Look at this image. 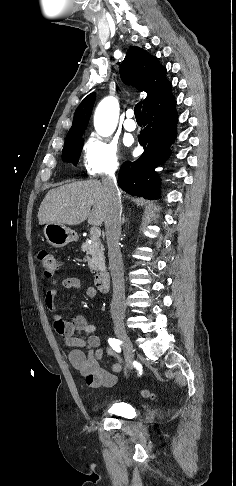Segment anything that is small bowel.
<instances>
[{"label": "small bowel", "instance_id": "1", "mask_svg": "<svg viewBox=\"0 0 236 486\" xmlns=\"http://www.w3.org/2000/svg\"><path fill=\"white\" fill-rule=\"evenodd\" d=\"M81 280L77 277L64 278L58 288L48 289L45 295V305L53 313V326L56 332L64 338L65 345L70 348L68 359L70 364L84 376L86 384L90 388L112 387L117 382L116 373L123 370L122 358L111 348L106 354L114 357L116 362L111 371L101 367V359L104 351L101 340L95 334L96 326L86 320L83 315H76L71 321L64 319L59 308L55 304V297L59 289H80ZM86 295L92 297L95 290L91 287L85 290ZM83 335H87L84 339ZM83 349H86L84 351Z\"/></svg>", "mask_w": 236, "mask_h": 486}]
</instances>
